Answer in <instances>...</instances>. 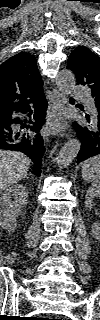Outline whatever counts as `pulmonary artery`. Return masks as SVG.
I'll return each mask as SVG.
<instances>
[{"label": "pulmonary artery", "instance_id": "1", "mask_svg": "<svg viewBox=\"0 0 100 320\" xmlns=\"http://www.w3.org/2000/svg\"><path fill=\"white\" fill-rule=\"evenodd\" d=\"M73 97L75 99H79V100H85L87 101L88 103V106L89 108L93 111L94 110V103L92 102V98H91V95L90 93L84 89V88H81V87H76L74 89V94H73Z\"/></svg>", "mask_w": 100, "mask_h": 320}]
</instances>
